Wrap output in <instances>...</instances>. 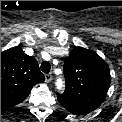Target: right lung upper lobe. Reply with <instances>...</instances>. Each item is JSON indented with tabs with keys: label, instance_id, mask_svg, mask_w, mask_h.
Wrapping results in <instances>:
<instances>
[{
	"label": "right lung upper lobe",
	"instance_id": "1",
	"mask_svg": "<svg viewBox=\"0 0 122 122\" xmlns=\"http://www.w3.org/2000/svg\"><path fill=\"white\" fill-rule=\"evenodd\" d=\"M44 80L36 59L26 55L20 47L1 52V108L21 103L31 88Z\"/></svg>",
	"mask_w": 122,
	"mask_h": 122
}]
</instances>
